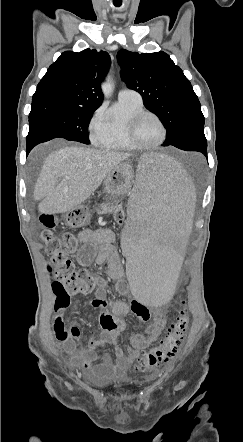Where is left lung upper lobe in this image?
<instances>
[{
	"instance_id": "left-lung-upper-lobe-1",
	"label": "left lung upper lobe",
	"mask_w": 243,
	"mask_h": 442,
	"mask_svg": "<svg viewBox=\"0 0 243 442\" xmlns=\"http://www.w3.org/2000/svg\"><path fill=\"white\" fill-rule=\"evenodd\" d=\"M121 77L139 92L145 107L155 113L167 131L163 146L204 125L197 95L183 71L165 52L142 53L121 49L117 53Z\"/></svg>"
}]
</instances>
